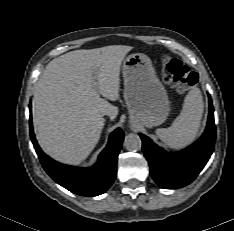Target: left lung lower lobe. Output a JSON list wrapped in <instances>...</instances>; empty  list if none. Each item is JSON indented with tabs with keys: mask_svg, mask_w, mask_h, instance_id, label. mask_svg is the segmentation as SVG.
<instances>
[{
	"mask_svg": "<svg viewBox=\"0 0 234 231\" xmlns=\"http://www.w3.org/2000/svg\"><path fill=\"white\" fill-rule=\"evenodd\" d=\"M209 97V116L204 134L186 149L168 153L147 136L140 134L142 148L154 181L162 188H181L190 184L208 162L215 144L213 105Z\"/></svg>",
	"mask_w": 234,
	"mask_h": 231,
	"instance_id": "obj_1",
	"label": "left lung lower lobe"
}]
</instances>
